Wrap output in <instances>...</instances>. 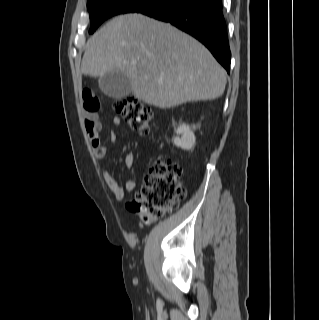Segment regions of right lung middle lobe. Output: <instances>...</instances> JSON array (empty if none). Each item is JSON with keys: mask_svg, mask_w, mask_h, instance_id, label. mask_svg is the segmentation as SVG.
Here are the masks:
<instances>
[{"mask_svg": "<svg viewBox=\"0 0 319 320\" xmlns=\"http://www.w3.org/2000/svg\"><path fill=\"white\" fill-rule=\"evenodd\" d=\"M163 0H88L87 8L90 12L91 28L93 33L107 18L139 10L159 3Z\"/></svg>", "mask_w": 319, "mask_h": 320, "instance_id": "dd1d6c3e", "label": "right lung middle lobe"}]
</instances>
